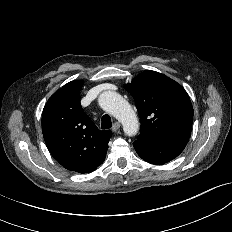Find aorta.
I'll return each mask as SVG.
<instances>
[{
    "label": "aorta",
    "mask_w": 232,
    "mask_h": 232,
    "mask_svg": "<svg viewBox=\"0 0 232 232\" xmlns=\"http://www.w3.org/2000/svg\"><path fill=\"white\" fill-rule=\"evenodd\" d=\"M100 107L113 115L123 126L126 135L134 136L138 133L139 123L131 105L114 91L103 92L98 99Z\"/></svg>",
    "instance_id": "aorta-1"
}]
</instances>
